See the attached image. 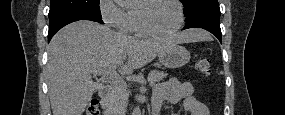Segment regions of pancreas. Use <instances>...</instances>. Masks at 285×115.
<instances>
[{
  "instance_id": "cf45deb5",
  "label": "pancreas",
  "mask_w": 285,
  "mask_h": 115,
  "mask_svg": "<svg viewBox=\"0 0 285 115\" xmlns=\"http://www.w3.org/2000/svg\"><path fill=\"white\" fill-rule=\"evenodd\" d=\"M166 76L167 74L162 71L153 70L148 74V80L150 83L155 84ZM127 96V86L114 84L103 102L106 112L109 115H121L127 105Z\"/></svg>"
}]
</instances>
